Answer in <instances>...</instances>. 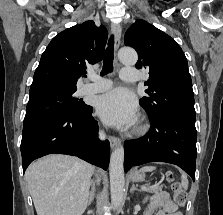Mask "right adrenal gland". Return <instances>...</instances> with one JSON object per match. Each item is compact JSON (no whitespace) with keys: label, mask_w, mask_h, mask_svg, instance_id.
Here are the masks:
<instances>
[{"label":"right adrenal gland","mask_w":223,"mask_h":215,"mask_svg":"<svg viewBox=\"0 0 223 215\" xmlns=\"http://www.w3.org/2000/svg\"><path fill=\"white\" fill-rule=\"evenodd\" d=\"M95 183L94 181H91V191L88 195V201H87V205H91V201H93L94 197H95Z\"/></svg>","instance_id":"obj_1"}]
</instances>
